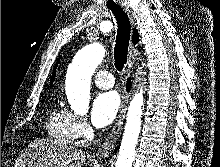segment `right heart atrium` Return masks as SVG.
I'll return each instance as SVG.
<instances>
[{
	"mask_svg": "<svg viewBox=\"0 0 220 167\" xmlns=\"http://www.w3.org/2000/svg\"><path fill=\"white\" fill-rule=\"evenodd\" d=\"M71 118L76 138H87L91 129L86 119L73 113H71Z\"/></svg>",
	"mask_w": 220,
	"mask_h": 167,
	"instance_id": "right-heart-atrium-1",
	"label": "right heart atrium"
}]
</instances>
